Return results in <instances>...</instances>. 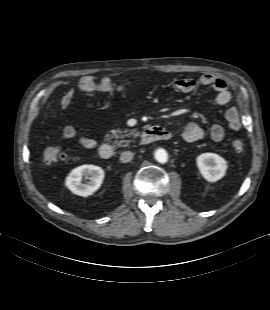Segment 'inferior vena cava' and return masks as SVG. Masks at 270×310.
<instances>
[{
	"instance_id": "inferior-vena-cava-1",
	"label": "inferior vena cava",
	"mask_w": 270,
	"mask_h": 310,
	"mask_svg": "<svg viewBox=\"0 0 270 310\" xmlns=\"http://www.w3.org/2000/svg\"><path fill=\"white\" fill-rule=\"evenodd\" d=\"M134 154L131 151H124L121 153L120 161L122 163H128L133 159Z\"/></svg>"
}]
</instances>
